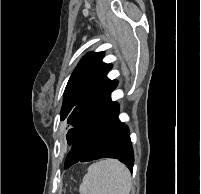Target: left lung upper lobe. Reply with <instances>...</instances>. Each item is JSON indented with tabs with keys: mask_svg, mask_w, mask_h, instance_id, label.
<instances>
[{
	"mask_svg": "<svg viewBox=\"0 0 201 194\" xmlns=\"http://www.w3.org/2000/svg\"><path fill=\"white\" fill-rule=\"evenodd\" d=\"M104 52L87 54L73 71L64 91L60 119L68 124L67 137L76 131L110 100L117 80L107 78L112 65L102 62Z\"/></svg>",
	"mask_w": 201,
	"mask_h": 194,
	"instance_id": "obj_1",
	"label": "left lung upper lobe"
}]
</instances>
